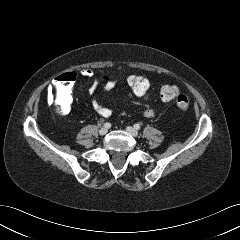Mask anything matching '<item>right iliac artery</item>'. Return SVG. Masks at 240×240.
Segmentation results:
<instances>
[{
    "label": "right iliac artery",
    "instance_id": "right-iliac-artery-1",
    "mask_svg": "<svg viewBox=\"0 0 240 240\" xmlns=\"http://www.w3.org/2000/svg\"><path fill=\"white\" fill-rule=\"evenodd\" d=\"M104 127H105V128H110V127H111V124L108 123V122H106V123L104 124Z\"/></svg>",
    "mask_w": 240,
    "mask_h": 240
}]
</instances>
